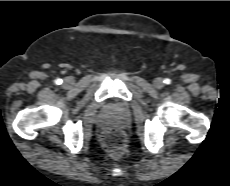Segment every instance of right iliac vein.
<instances>
[{"mask_svg": "<svg viewBox=\"0 0 230 186\" xmlns=\"http://www.w3.org/2000/svg\"><path fill=\"white\" fill-rule=\"evenodd\" d=\"M64 85L66 86V87H70V86H72L73 85V83H74V79L72 78V77H67V78H65L64 79Z\"/></svg>", "mask_w": 230, "mask_h": 186, "instance_id": "1", "label": "right iliac vein"}]
</instances>
